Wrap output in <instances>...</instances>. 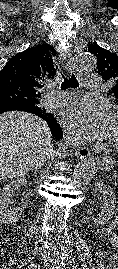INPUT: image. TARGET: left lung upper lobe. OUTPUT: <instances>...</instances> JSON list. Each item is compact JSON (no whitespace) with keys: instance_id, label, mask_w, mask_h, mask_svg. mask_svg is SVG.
Masks as SVG:
<instances>
[{"instance_id":"left-lung-upper-lobe-1","label":"left lung upper lobe","mask_w":118,"mask_h":269,"mask_svg":"<svg viewBox=\"0 0 118 269\" xmlns=\"http://www.w3.org/2000/svg\"><path fill=\"white\" fill-rule=\"evenodd\" d=\"M88 51L97 57V72L112 85L111 92L118 98V56L94 44Z\"/></svg>"}]
</instances>
